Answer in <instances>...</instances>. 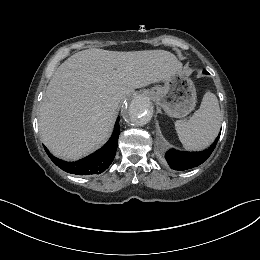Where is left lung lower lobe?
<instances>
[{"mask_svg": "<svg viewBox=\"0 0 260 260\" xmlns=\"http://www.w3.org/2000/svg\"><path fill=\"white\" fill-rule=\"evenodd\" d=\"M219 137L220 134L208 149L201 152H183L170 149L166 153L165 159L168 165L174 170L183 171L194 168L205 162L210 157L216 147Z\"/></svg>", "mask_w": 260, "mask_h": 260, "instance_id": "1", "label": "left lung lower lobe"}]
</instances>
